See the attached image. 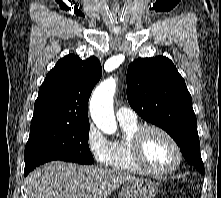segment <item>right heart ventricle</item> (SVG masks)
<instances>
[{"instance_id":"e07e8e85","label":"right heart ventricle","mask_w":221,"mask_h":198,"mask_svg":"<svg viewBox=\"0 0 221 198\" xmlns=\"http://www.w3.org/2000/svg\"><path fill=\"white\" fill-rule=\"evenodd\" d=\"M124 136L111 142L109 166L114 170L142 173L144 172L135 162L132 152L131 141L134 133L140 128L135 122L120 123Z\"/></svg>"}]
</instances>
